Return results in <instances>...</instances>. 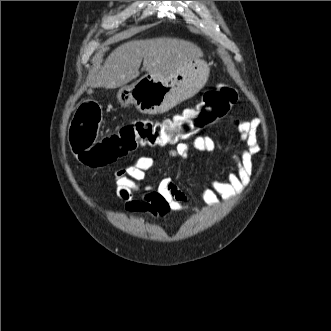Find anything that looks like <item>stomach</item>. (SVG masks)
Returning a JSON list of instances; mask_svg holds the SVG:
<instances>
[{"instance_id":"stomach-1","label":"stomach","mask_w":331,"mask_h":331,"mask_svg":"<svg viewBox=\"0 0 331 331\" xmlns=\"http://www.w3.org/2000/svg\"><path fill=\"white\" fill-rule=\"evenodd\" d=\"M209 72L204 60L194 58L169 76H143L122 87L117 98L122 106L134 105L143 114H162L198 93L207 82Z\"/></svg>"}]
</instances>
